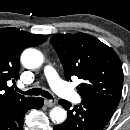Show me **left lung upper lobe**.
I'll return each instance as SVG.
<instances>
[{"instance_id": "5c2ea615", "label": "left lung upper lobe", "mask_w": 130, "mask_h": 130, "mask_svg": "<svg viewBox=\"0 0 130 130\" xmlns=\"http://www.w3.org/2000/svg\"><path fill=\"white\" fill-rule=\"evenodd\" d=\"M62 63L66 80L77 76L82 100L115 112L122 94L123 70L116 52L85 34H57L50 40Z\"/></svg>"}]
</instances>
